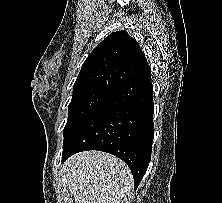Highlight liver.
Wrapping results in <instances>:
<instances>
[{"label":"liver","mask_w":222,"mask_h":203,"mask_svg":"<svg viewBox=\"0 0 222 203\" xmlns=\"http://www.w3.org/2000/svg\"><path fill=\"white\" fill-rule=\"evenodd\" d=\"M65 172L75 203H130L134 188L131 170L111 154L77 153L65 162Z\"/></svg>","instance_id":"6515ba94"}]
</instances>
